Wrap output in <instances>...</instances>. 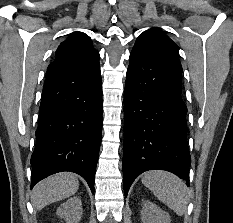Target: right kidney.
<instances>
[{"instance_id": "ca27d5eb", "label": "right kidney", "mask_w": 233, "mask_h": 223, "mask_svg": "<svg viewBox=\"0 0 233 223\" xmlns=\"http://www.w3.org/2000/svg\"><path fill=\"white\" fill-rule=\"evenodd\" d=\"M57 215L63 217L66 223H79L82 217V201L79 195L69 197L57 209Z\"/></svg>"}]
</instances>
